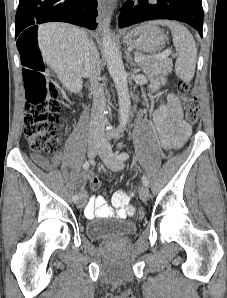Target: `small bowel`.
I'll use <instances>...</instances> for the list:
<instances>
[{
	"label": "small bowel",
	"mask_w": 227,
	"mask_h": 298,
	"mask_svg": "<svg viewBox=\"0 0 227 298\" xmlns=\"http://www.w3.org/2000/svg\"><path fill=\"white\" fill-rule=\"evenodd\" d=\"M160 82L155 81L151 89L155 91ZM152 128L162 148L169 150L181 147L191 134V126L183 118V110L179 99L169 94L166 100L154 111L151 118ZM32 159L44 169H50L61 162V155L56 154L51 161L40 154L32 153ZM89 173H84L78 180L80 195L87 200L86 183ZM113 207L108 205L103 196H92L84 208V215L88 219L94 217L118 218L130 217L134 214V207L129 203V196L123 191H117L113 196Z\"/></svg>",
	"instance_id": "obj_1"
}]
</instances>
